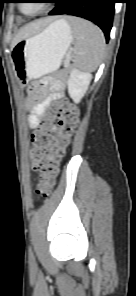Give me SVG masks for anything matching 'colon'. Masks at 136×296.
Masks as SVG:
<instances>
[{
  "instance_id": "obj_1",
  "label": "colon",
  "mask_w": 136,
  "mask_h": 296,
  "mask_svg": "<svg viewBox=\"0 0 136 296\" xmlns=\"http://www.w3.org/2000/svg\"><path fill=\"white\" fill-rule=\"evenodd\" d=\"M57 125L54 138L50 135L52 126ZM78 125V111L67 99L54 101L45 111L40 128L32 134L35 144L31 152V166L39 170L36 194L48 198L53 190L59 164ZM50 150L44 153L45 148Z\"/></svg>"
}]
</instances>
